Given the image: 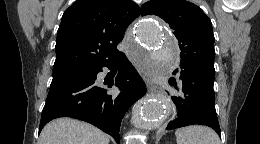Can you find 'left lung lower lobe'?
Returning a JSON list of instances; mask_svg holds the SVG:
<instances>
[{"instance_id": "obj_1", "label": "left lung lower lobe", "mask_w": 260, "mask_h": 144, "mask_svg": "<svg viewBox=\"0 0 260 144\" xmlns=\"http://www.w3.org/2000/svg\"><path fill=\"white\" fill-rule=\"evenodd\" d=\"M180 67L182 70L179 81H169L178 95L172 96V120L166 129L199 124L213 128L221 136L215 110L214 78L189 66Z\"/></svg>"}]
</instances>
